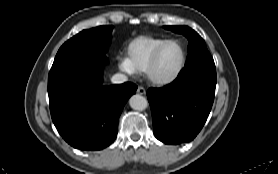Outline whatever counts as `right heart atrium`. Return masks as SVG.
<instances>
[{
    "label": "right heart atrium",
    "mask_w": 278,
    "mask_h": 174,
    "mask_svg": "<svg viewBox=\"0 0 278 174\" xmlns=\"http://www.w3.org/2000/svg\"><path fill=\"white\" fill-rule=\"evenodd\" d=\"M119 67L121 70L129 74H133L136 72L128 57L122 56L119 58Z\"/></svg>",
    "instance_id": "obj_1"
}]
</instances>
